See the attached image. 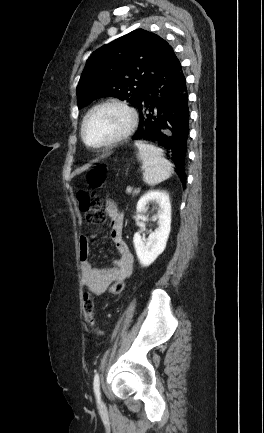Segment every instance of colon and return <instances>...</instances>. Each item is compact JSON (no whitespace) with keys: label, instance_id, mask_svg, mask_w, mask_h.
<instances>
[{"label":"colon","instance_id":"1","mask_svg":"<svg viewBox=\"0 0 264 433\" xmlns=\"http://www.w3.org/2000/svg\"><path fill=\"white\" fill-rule=\"evenodd\" d=\"M107 168L105 165H98L92 168L87 175L88 184L91 187L98 188L103 185L106 179ZM79 206L85 215L86 221L90 224H100L106 219V214L102 210L101 199L87 191H79L77 194ZM125 283L117 281L111 285L109 292L112 295H119L123 292ZM94 301L90 291H85L83 296V311L85 322L89 329L96 335H102L103 332L96 328L93 318Z\"/></svg>","mask_w":264,"mask_h":433}]
</instances>
